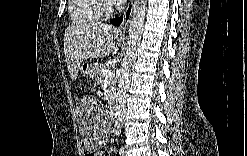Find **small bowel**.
I'll return each mask as SVG.
<instances>
[{
  "label": "small bowel",
  "instance_id": "small-bowel-1",
  "mask_svg": "<svg viewBox=\"0 0 247 156\" xmlns=\"http://www.w3.org/2000/svg\"><path fill=\"white\" fill-rule=\"evenodd\" d=\"M86 154H87V155H89V156L96 155V153H95V152H93V151H88V152H86Z\"/></svg>",
  "mask_w": 247,
  "mask_h": 156
}]
</instances>
